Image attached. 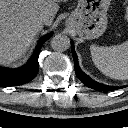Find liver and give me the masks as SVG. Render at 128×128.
<instances>
[{
    "mask_svg": "<svg viewBox=\"0 0 128 128\" xmlns=\"http://www.w3.org/2000/svg\"><path fill=\"white\" fill-rule=\"evenodd\" d=\"M68 0H0V64L19 59L43 28L50 26L59 10V2ZM46 10L49 19L43 23L39 14Z\"/></svg>",
    "mask_w": 128,
    "mask_h": 128,
    "instance_id": "obj_1",
    "label": "liver"
}]
</instances>
